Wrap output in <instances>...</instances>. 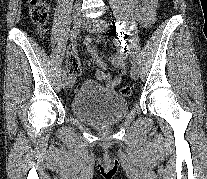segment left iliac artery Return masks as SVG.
<instances>
[{
    "label": "left iliac artery",
    "mask_w": 207,
    "mask_h": 179,
    "mask_svg": "<svg viewBox=\"0 0 207 179\" xmlns=\"http://www.w3.org/2000/svg\"><path fill=\"white\" fill-rule=\"evenodd\" d=\"M106 25H107L108 29H111V28L115 29L116 26L121 28V26L117 22L116 23L108 22V23H106ZM129 55H130L129 63L132 64V65H135L136 64V60H135V57L133 56V52H129Z\"/></svg>",
    "instance_id": "44dca946"
}]
</instances>
